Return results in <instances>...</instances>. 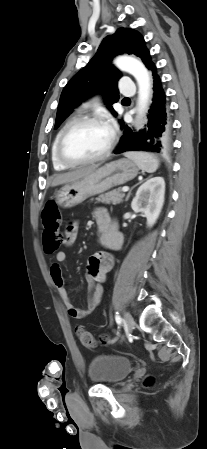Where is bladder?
Here are the masks:
<instances>
[{
    "label": "bladder",
    "mask_w": 207,
    "mask_h": 449,
    "mask_svg": "<svg viewBox=\"0 0 207 449\" xmlns=\"http://www.w3.org/2000/svg\"><path fill=\"white\" fill-rule=\"evenodd\" d=\"M132 367V361L126 357L99 354L90 360L88 376L95 383L115 384L127 377Z\"/></svg>",
    "instance_id": "obj_1"
}]
</instances>
